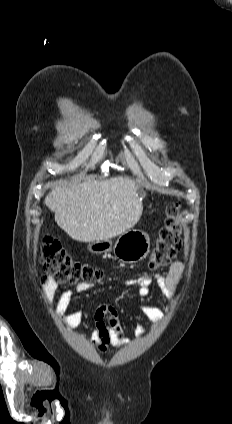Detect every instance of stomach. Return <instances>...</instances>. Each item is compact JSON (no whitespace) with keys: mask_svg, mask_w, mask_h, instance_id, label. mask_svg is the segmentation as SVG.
Returning a JSON list of instances; mask_svg holds the SVG:
<instances>
[{"mask_svg":"<svg viewBox=\"0 0 232 424\" xmlns=\"http://www.w3.org/2000/svg\"><path fill=\"white\" fill-rule=\"evenodd\" d=\"M138 192L144 193L142 189H139ZM87 249L96 254L113 251L114 255L121 261L136 263L148 254L150 238L147 233L132 229L121 234L114 245L111 240L94 241L89 243Z\"/></svg>","mask_w":232,"mask_h":424,"instance_id":"obj_1","label":"stomach"}]
</instances>
